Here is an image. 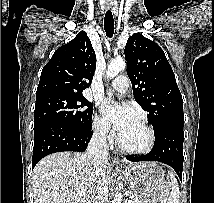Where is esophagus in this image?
I'll return each instance as SVG.
<instances>
[{
    "instance_id": "34e87169",
    "label": "esophagus",
    "mask_w": 214,
    "mask_h": 203,
    "mask_svg": "<svg viewBox=\"0 0 214 203\" xmlns=\"http://www.w3.org/2000/svg\"><path fill=\"white\" fill-rule=\"evenodd\" d=\"M111 8H112L111 5H108V6H107V9H108V10H110ZM113 164H114L116 167H121V166H122L119 157H116V156H114V158H113Z\"/></svg>"
}]
</instances>
